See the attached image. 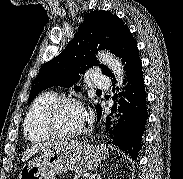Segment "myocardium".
Instances as JSON below:
<instances>
[{
    "instance_id": "f54148a6",
    "label": "myocardium",
    "mask_w": 183,
    "mask_h": 179,
    "mask_svg": "<svg viewBox=\"0 0 183 179\" xmlns=\"http://www.w3.org/2000/svg\"><path fill=\"white\" fill-rule=\"evenodd\" d=\"M63 104H74L78 106L83 114H84V119L82 124L80 125L79 128H77L75 131L70 132V133H60L58 132L54 126H53V117L56 112V110ZM88 122V114L87 111L83 105V103L71 96H58L55 99H53L45 108L42 117H41V125L43 130L52 138H57V139H70L78 136L81 134V132L84 130L86 124Z\"/></svg>"
}]
</instances>
